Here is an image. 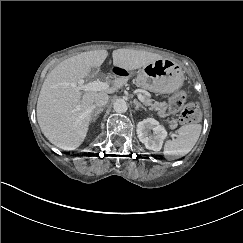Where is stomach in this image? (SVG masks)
I'll use <instances>...</instances> for the list:
<instances>
[{
  "label": "stomach",
  "mask_w": 243,
  "mask_h": 243,
  "mask_svg": "<svg viewBox=\"0 0 243 243\" xmlns=\"http://www.w3.org/2000/svg\"><path fill=\"white\" fill-rule=\"evenodd\" d=\"M184 82L183 70L172 61L159 59L138 72L137 85L144 90L169 93L178 90Z\"/></svg>",
  "instance_id": "obj_1"
}]
</instances>
